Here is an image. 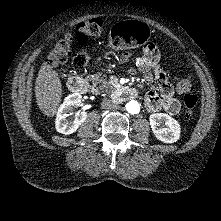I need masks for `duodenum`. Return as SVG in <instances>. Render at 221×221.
I'll return each instance as SVG.
<instances>
[{
	"mask_svg": "<svg viewBox=\"0 0 221 221\" xmlns=\"http://www.w3.org/2000/svg\"><path fill=\"white\" fill-rule=\"evenodd\" d=\"M67 87L71 92L84 93L88 90V83L81 75L73 74L68 78ZM137 96L138 90L135 87L124 86L119 90L117 98L119 101H128Z\"/></svg>",
	"mask_w": 221,
	"mask_h": 221,
	"instance_id": "1",
	"label": "duodenum"
}]
</instances>
